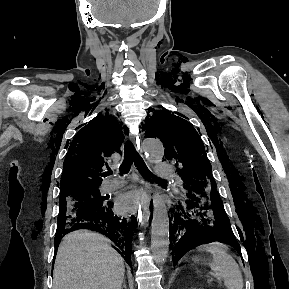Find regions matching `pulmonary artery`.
<instances>
[{
	"label": "pulmonary artery",
	"mask_w": 289,
	"mask_h": 289,
	"mask_svg": "<svg viewBox=\"0 0 289 289\" xmlns=\"http://www.w3.org/2000/svg\"><path fill=\"white\" fill-rule=\"evenodd\" d=\"M157 174L161 178H173L174 177V170L170 163L168 162H159L156 168ZM125 184V180L113 178L103 185L104 192H110L115 189L122 187Z\"/></svg>",
	"instance_id": "obj_1"
}]
</instances>
